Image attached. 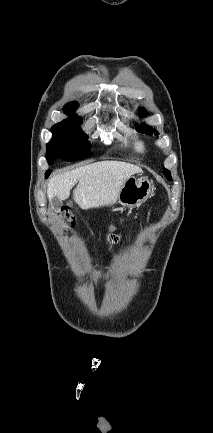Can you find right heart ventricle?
<instances>
[{"instance_id": "e07e8e85", "label": "right heart ventricle", "mask_w": 213, "mask_h": 433, "mask_svg": "<svg viewBox=\"0 0 213 433\" xmlns=\"http://www.w3.org/2000/svg\"><path fill=\"white\" fill-rule=\"evenodd\" d=\"M137 147H138V149H141V146H140V145H138Z\"/></svg>"}]
</instances>
